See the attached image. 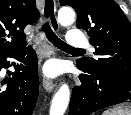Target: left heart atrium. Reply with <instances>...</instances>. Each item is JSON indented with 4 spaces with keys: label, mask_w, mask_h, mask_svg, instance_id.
<instances>
[{
    "label": "left heart atrium",
    "mask_w": 131,
    "mask_h": 115,
    "mask_svg": "<svg viewBox=\"0 0 131 115\" xmlns=\"http://www.w3.org/2000/svg\"><path fill=\"white\" fill-rule=\"evenodd\" d=\"M48 72L50 74H54L55 73V69L52 66H50V67H48Z\"/></svg>",
    "instance_id": "1"
}]
</instances>
